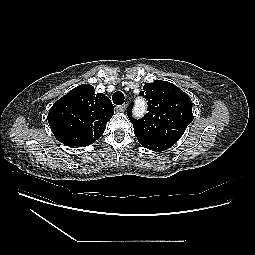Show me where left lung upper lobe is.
Instances as JSON below:
<instances>
[{
  "label": "left lung upper lobe",
  "instance_id": "5c2ea615",
  "mask_svg": "<svg viewBox=\"0 0 255 255\" xmlns=\"http://www.w3.org/2000/svg\"><path fill=\"white\" fill-rule=\"evenodd\" d=\"M140 95L148 100V113L137 120L132 117L133 104L127 109L138 141L177 142L193 120L190 97L174 84L162 80L145 84Z\"/></svg>",
  "mask_w": 255,
  "mask_h": 255
}]
</instances>
